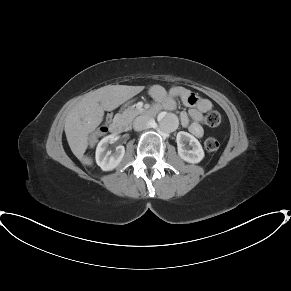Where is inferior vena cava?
<instances>
[{
  "label": "inferior vena cava",
  "instance_id": "obj_1",
  "mask_svg": "<svg viewBox=\"0 0 291 291\" xmlns=\"http://www.w3.org/2000/svg\"><path fill=\"white\" fill-rule=\"evenodd\" d=\"M153 120L149 116H139L133 122V128L135 131H142L147 128H150Z\"/></svg>",
  "mask_w": 291,
  "mask_h": 291
}]
</instances>
